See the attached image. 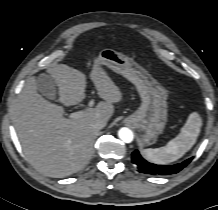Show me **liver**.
<instances>
[{
    "label": "liver",
    "instance_id": "liver-1",
    "mask_svg": "<svg viewBox=\"0 0 218 210\" xmlns=\"http://www.w3.org/2000/svg\"><path fill=\"white\" fill-rule=\"evenodd\" d=\"M101 66L95 58L91 79L104 101L85 109L79 118H64L62 106L38 94L34 78H29L20 92L14 106V127L27 159L43 174L62 178L89 163L99 131L93 123L108 121L114 113L113 104L122 100L120 89ZM48 73L59 88L61 103L71 106L84 100L86 78L82 72L61 64L49 68Z\"/></svg>",
    "mask_w": 218,
    "mask_h": 210
}]
</instances>
